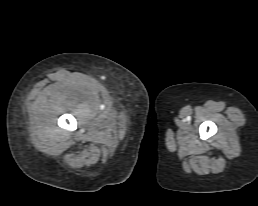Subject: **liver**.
<instances>
[{"instance_id": "obj_1", "label": "liver", "mask_w": 258, "mask_h": 206, "mask_svg": "<svg viewBox=\"0 0 258 206\" xmlns=\"http://www.w3.org/2000/svg\"><path fill=\"white\" fill-rule=\"evenodd\" d=\"M48 88H49V87H47V88L45 89V91H47V90H48Z\"/></svg>"}]
</instances>
